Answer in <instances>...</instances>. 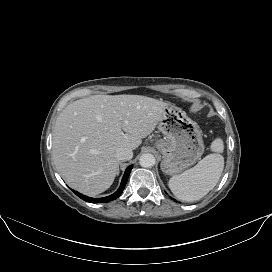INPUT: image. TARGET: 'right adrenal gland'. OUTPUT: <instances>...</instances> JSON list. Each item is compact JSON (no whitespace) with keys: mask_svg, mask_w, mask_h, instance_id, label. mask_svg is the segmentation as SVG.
Instances as JSON below:
<instances>
[{"mask_svg":"<svg viewBox=\"0 0 272 272\" xmlns=\"http://www.w3.org/2000/svg\"><path fill=\"white\" fill-rule=\"evenodd\" d=\"M122 164V162H118V166H117V175L119 174V166Z\"/></svg>","mask_w":272,"mask_h":272,"instance_id":"obj_1","label":"right adrenal gland"}]
</instances>
